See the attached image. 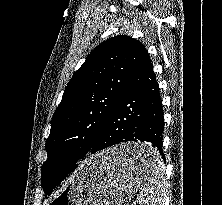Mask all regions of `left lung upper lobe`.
Listing matches in <instances>:
<instances>
[{
    "label": "left lung upper lobe",
    "instance_id": "left-lung-upper-lobe-1",
    "mask_svg": "<svg viewBox=\"0 0 222 205\" xmlns=\"http://www.w3.org/2000/svg\"><path fill=\"white\" fill-rule=\"evenodd\" d=\"M144 51L140 41L116 36L99 44L74 73L53 115L46 141L48 158L41 167L46 194L63 176L56 169L62 154L86 155L90 151Z\"/></svg>",
    "mask_w": 222,
    "mask_h": 205
}]
</instances>
